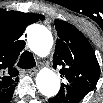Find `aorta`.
I'll use <instances>...</instances> for the list:
<instances>
[{"instance_id":"aorta-1","label":"aorta","mask_w":103,"mask_h":103,"mask_svg":"<svg viewBox=\"0 0 103 103\" xmlns=\"http://www.w3.org/2000/svg\"><path fill=\"white\" fill-rule=\"evenodd\" d=\"M27 41L30 50L40 57L47 56L53 45L51 32L39 24L30 28ZM36 85L42 95L53 97L59 92L60 79L52 70L42 69L36 76Z\"/></svg>"}]
</instances>
